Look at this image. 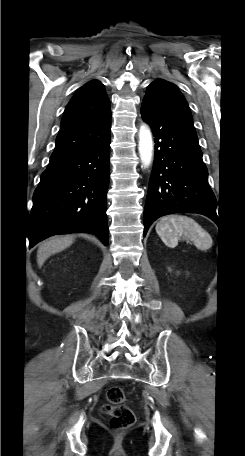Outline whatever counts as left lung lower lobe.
Segmentation results:
<instances>
[{"label":"left lung lower lobe","instance_id":"obj_1","mask_svg":"<svg viewBox=\"0 0 245 456\" xmlns=\"http://www.w3.org/2000/svg\"><path fill=\"white\" fill-rule=\"evenodd\" d=\"M141 116L153 129L155 159L144 209V236L159 217L199 213L216 220V199L208 183L193 122L142 101Z\"/></svg>","mask_w":245,"mask_h":456}]
</instances>
